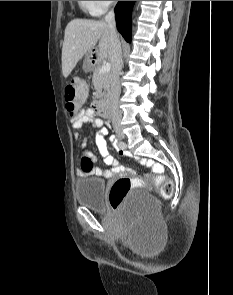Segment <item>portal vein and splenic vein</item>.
<instances>
[{
	"instance_id": "1",
	"label": "portal vein and splenic vein",
	"mask_w": 233,
	"mask_h": 295,
	"mask_svg": "<svg viewBox=\"0 0 233 295\" xmlns=\"http://www.w3.org/2000/svg\"><path fill=\"white\" fill-rule=\"evenodd\" d=\"M111 69V64L110 63H104L101 68H100V73H105L109 72Z\"/></svg>"
}]
</instances>
